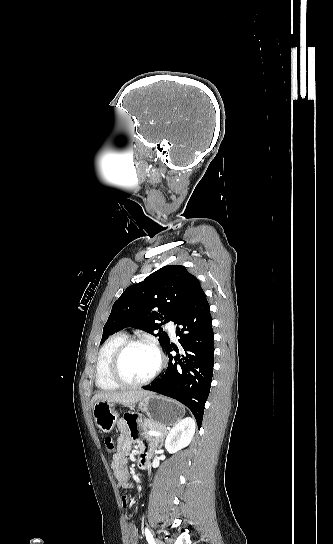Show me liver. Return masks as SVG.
<instances>
[{"instance_id": "obj_1", "label": "liver", "mask_w": 333, "mask_h": 544, "mask_svg": "<svg viewBox=\"0 0 333 544\" xmlns=\"http://www.w3.org/2000/svg\"><path fill=\"white\" fill-rule=\"evenodd\" d=\"M151 393L143 390H127L120 392H98L91 400L92 408L93 404L97 401H108L119 403L123 405H130L139 402L143 397L150 395Z\"/></svg>"}]
</instances>
